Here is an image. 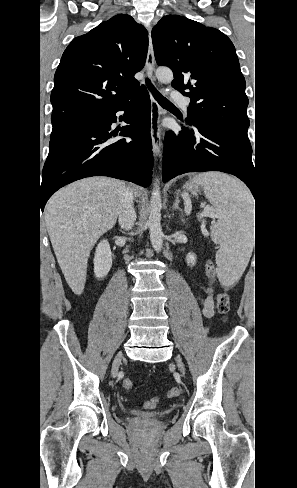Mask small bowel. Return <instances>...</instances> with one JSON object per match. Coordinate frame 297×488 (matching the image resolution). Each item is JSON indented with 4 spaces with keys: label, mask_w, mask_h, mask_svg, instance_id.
Here are the masks:
<instances>
[{
    "label": "small bowel",
    "mask_w": 297,
    "mask_h": 488,
    "mask_svg": "<svg viewBox=\"0 0 297 488\" xmlns=\"http://www.w3.org/2000/svg\"><path fill=\"white\" fill-rule=\"evenodd\" d=\"M213 279L208 283L205 294L200 298L202 306V313L206 318H211L214 315V289L212 287Z\"/></svg>",
    "instance_id": "small-bowel-1"
}]
</instances>
